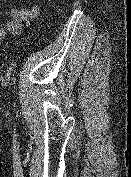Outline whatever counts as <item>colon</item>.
<instances>
[{
  "mask_svg": "<svg viewBox=\"0 0 131 177\" xmlns=\"http://www.w3.org/2000/svg\"><path fill=\"white\" fill-rule=\"evenodd\" d=\"M2 66H3V63H2V61L0 60V69L2 68Z\"/></svg>",
  "mask_w": 131,
  "mask_h": 177,
  "instance_id": "5ec220e1",
  "label": "colon"
}]
</instances>
